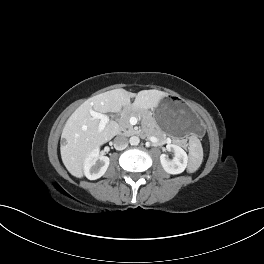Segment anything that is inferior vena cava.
<instances>
[{"label":"inferior vena cava","instance_id":"obj_1","mask_svg":"<svg viewBox=\"0 0 264 264\" xmlns=\"http://www.w3.org/2000/svg\"><path fill=\"white\" fill-rule=\"evenodd\" d=\"M128 146V139L125 136H117L114 139V147L116 150H123Z\"/></svg>","mask_w":264,"mask_h":264}]
</instances>
